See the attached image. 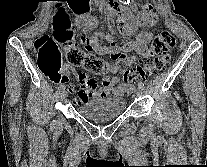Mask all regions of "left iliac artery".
I'll use <instances>...</instances> for the list:
<instances>
[{
	"instance_id": "1",
	"label": "left iliac artery",
	"mask_w": 207,
	"mask_h": 167,
	"mask_svg": "<svg viewBox=\"0 0 207 167\" xmlns=\"http://www.w3.org/2000/svg\"><path fill=\"white\" fill-rule=\"evenodd\" d=\"M138 87L141 88V89H144L145 88L144 82L139 81Z\"/></svg>"
}]
</instances>
